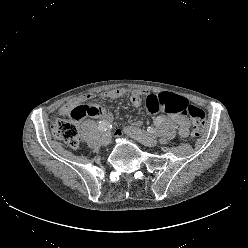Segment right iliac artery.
<instances>
[{
    "label": "right iliac artery",
    "instance_id": "obj_1",
    "mask_svg": "<svg viewBox=\"0 0 248 248\" xmlns=\"http://www.w3.org/2000/svg\"><path fill=\"white\" fill-rule=\"evenodd\" d=\"M109 128V124L106 121H100L98 124V129L100 132H105Z\"/></svg>",
    "mask_w": 248,
    "mask_h": 248
}]
</instances>
